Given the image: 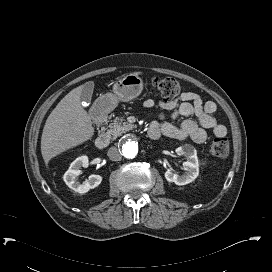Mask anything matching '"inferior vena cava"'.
Instances as JSON below:
<instances>
[{
	"label": "inferior vena cava",
	"mask_w": 272,
	"mask_h": 272,
	"mask_svg": "<svg viewBox=\"0 0 272 272\" xmlns=\"http://www.w3.org/2000/svg\"><path fill=\"white\" fill-rule=\"evenodd\" d=\"M107 155L112 161H120L122 159L121 152L116 147L109 148Z\"/></svg>",
	"instance_id": "inferior-vena-cava-1"
}]
</instances>
